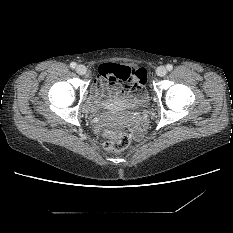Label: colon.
Wrapping results in <instances>:
<instances>
[{"label":"colon","instance_id":"1","mask_svg":"<svg viewBox=\"0 0 233 233\" xmlns=\"http://www.w3.org/2000/svg\"><path fill=\"white\" fill-rule=\"evenodd\" d=\"M113 79L120 81H131L129 90H135L137 88V81L130 77L129 72L124 67H118L114 71ZM103 135L107 139L104 143V149L108 152H116L128 148L132 139L127 131L119 130L113 126L106 125L103 128Z\"/></svg>","mask_w":233,"mask_h":233}]
</instances>
